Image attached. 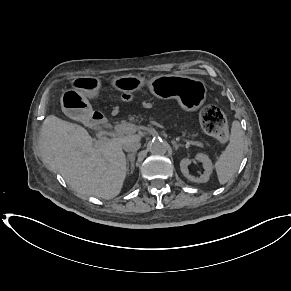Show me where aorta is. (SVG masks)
<instances>
[{"label": "aorta", "mask_w": 291, "mask_h": 291, "mask_svg": "<svg viewBox=\"0 0 291 291\" xmlns=\"http://www.w3.org/2000/svg\"><path fill=\"white\" fill-rule=\"evenodd\" d=\"M148 149L152 154L163 155L167 152L168 145L166 142L156 139L148 144Z\"/></svg>", "instance_id": "762f6f07"}]
</instances>
